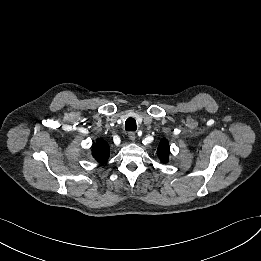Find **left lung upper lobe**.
I'll list each match as a JSON object with an SVG mask.
<instances>
[{"instance_id": "1", "label": "left lung upper lobe", "mask_w": 261, "mask_h": 261, "mask_svg": "<svg viewBox=\"0 0 261 261\" xmlns=\"http://www.w3.org/2000/svg\"><path fill=\"white\" fill-rule=\"evenodd\" d=\"M157 153H158L160 160L163 163L168 162L170 150H169L168 141L166 139L161 140L159 147H158V150H157Z\"/></svg>"}]
</instances>
